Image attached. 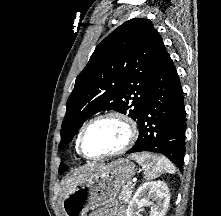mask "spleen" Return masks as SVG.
<instances>
[{"mask_svg":"<svg viewBox=\"0 0 221 216\" xmlns=\"http://www.w3.org/2000/svg\"><path fill=\"white\" fill-rule=\"evenodd\" d=\"M144 170L145 179L151 180L159 177L163 173H175V167L165 157H158L149 153L133 154L130 156Z\"/></svg>","mask_w":221,"mask_h":216,"instance_id":"3e777b00","label":"spleen"}]
</instances>
